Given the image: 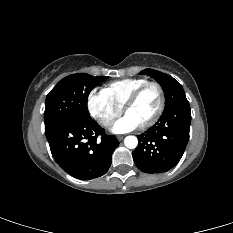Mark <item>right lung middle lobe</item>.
I'll use <instances>...</instances> for the list:
<instances>
[{
    "instance_id": "1",
    "label": "right lung middle lobe",
    "mask_w": 233,
    "mask_h": 233,
    "mask_svg": "<svg viewBox=\"0 0 233 233\" xmlns=\"http://www.w3.org/2000/svg\"><path fill=\"white\" fill-rule=\"evenodd\" d=\"M107 78L79 73L60 80L46 97L45 128L61 121L90 116L87 108L89 93Z\"/></svg>"
}]
</instances>
